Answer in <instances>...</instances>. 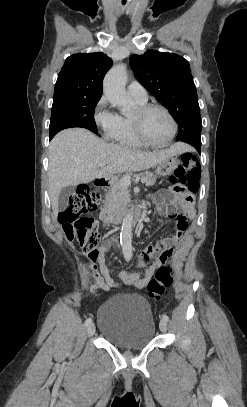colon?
Returning <instances> with one entry per match:
<instances>
[{
	"mask_svg": "<svg viewBox=\"0 0 247 407\" xmlns=\"http://www.w3.org/2000/svg\"><path fill=\"white\" fill-rule=\"evenodd\" d=\"M200 164L195 154L185 153L181 164L170 178V182L178 192L194 194L199 189ZM192 201V197H187ZM100 201V195L92 192L87 186H80L70 197L68 207L60 213L59 222L62 224L66 237L76 240L82 250L93 256L100 240L99 224L85 214L95 210ZM173 283L170 267L161 266L157 269L155 278L147 284L148 295L152 299H159L164 291Z\"/></svg>",
	"mask_w": 247,
	"mask_h": 407,
	"instance_id": "5ec220e1",
	"label": "colon"
}]
</instances>
